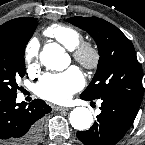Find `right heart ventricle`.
I'll return each instance as SVG.
<instances>
[{
	"instance_id": "e07e8e85",
	"label": "right heart ventricle",
	"mask_w": 145,
	"mask_h": 145,
	"mask_svg": "<svg viewBox=\"0 0 145 145\" xmlns=\"http://www.w3.org/2000/svg\"><path fill=\"white\" fill-rule=\"evenodd\" d=\"M44 34L54 38L69 50H73L83 39L78 29L64 24H53L45 29Z\"/></svg>"
}]
</instances>
